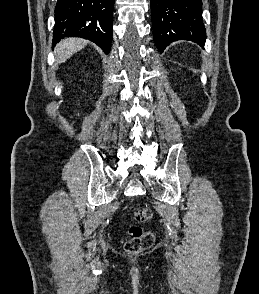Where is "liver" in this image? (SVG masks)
<instances>
[{
	"instance_id": "1",
	"label": "liver",
	"mask_w": 259,
	"mask_h": 294,
	"mask_svg": "<svg viewBox=\"0 0 259 294\" xmlns=\"http://www.w3.org/2000/svg\"><path fill=\"white\" fill-rule=\"evenodd\" d=\"M87 45V41L79 38H67L62 40L55 47L57 64H61L69 59L73 54L80 51Z\"/></svg>"
}]
</instances>
